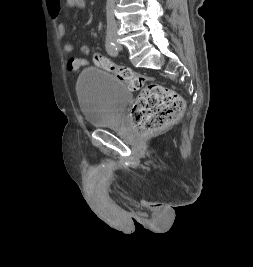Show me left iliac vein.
<instances>
[{
	"label": "left iliac vein",
	"instance_id": "4c4485c4",
	"mask_svg": "<svg viewBox=\"0 0 253 267\" xmlns=\"http://www.w3.org/2000/svg\"><path fill=\"white\" fill-rule=\"evenodd\" d=\"M116 45L118 46V48H121V45L120 44L116 43Z\"/></svg>",
	"mask_w": 253,
	"mask_h": 267
}]
</instances>
